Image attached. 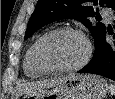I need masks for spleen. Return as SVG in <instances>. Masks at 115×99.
<instances>
[{
  "mask_svg": "<svg viewBox=\"0 0 115 99\" xmlns=\"http://www.w3.org/2000/svg\"><path fill=\"white\" fill-rule=\"evenodd\" d=\"M108 88H109L111 95H115V85L110 84Z\"/></svg>",
  "mask_w": 115,
  "mask_h": 99,
  "instance_id": "1",
  "label": "spleen"
}]
</instances>
